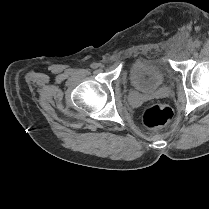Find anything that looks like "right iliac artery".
Masks as SVG:
<instances>
[{"label": "right iliac artery", "instance_id": "right-iliac-artery-1", "mask_svg": "<svg viewBox=\"0 0 209 209\" xmlns=\"http://www.w3.org/2000/svg\"><path fill=\"white\" fill-rule=\"evenodd\" d=\"M97 67H98V64H97V63H92V64H91V68L95 69V68H97Z\"/></svg>", "mask_w": 209, "mask_h": 209}]
</instances>
